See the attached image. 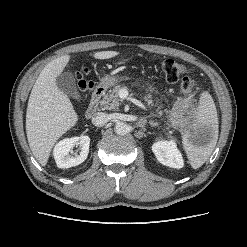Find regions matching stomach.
Segmentation results:
<instances>
[{"mask_svg": "<svg viewBox=\"0 0 247 247\" xmlns=\"http://www.w3.org/2000/svg\"><path fill=\"white\" fill-rule=\"evenodd\" d=\"M117 82H118V79L114 76H104L100 80V84L105 88L111 87L115 85ZM195 114H193V116L181 117L173 113L171 120H172V123L175 125H178L184 133L192 134L194 131L193 124H194V120L196 117Z\"/></svg>", "mask_w": 247, "mask_h": 247, "instance_id": "obj_1", "label": "stomach"}]
</instances>
